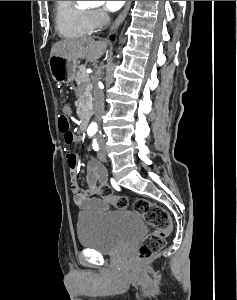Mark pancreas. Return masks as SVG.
<instances>
[{
  "label": "pancreas",
  "instance_id": "1",
  "mask_svg": "<svg viewBox=\"0 0 237 300\" xmlns=\"http://www.w3.org/2000/svg\"><path fill=\"white\" fill-rule=\"evenodd\" d=\"M75 81L78 87H80V85H83L85 89H87V87H90V85H92L91 79H89L85 67H78L76 71ZM86 99H87L86 95H81V97H79V99L75 101V107H77L76 113L78 117H80V119H88L89 117L87 113L88 105Z\"/></svg>",
  "mask_w": 237,
  "mask_h": 300
}]
</instances>
